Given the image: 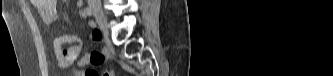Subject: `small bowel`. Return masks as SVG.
<instances>
[{
	"label": "small bowel",
	"instance_id": "c3829d8e",
	"mask_svg": "<svg viewBox=\"0 0 333 76\" xmlns=\"http://www.w3.org/2000/svg\"><path fill=\"white\" fill-rule=\"evenodd\" d=\"M34 2L39 15L45 22L52 24L57 21L58 0H36ZM82 5L83 2L81 0L77 1V6L80 9V15L82 17H86L87 14L82 10ZM89 25L94 29L95 24L93 22H89ZM92 38L94 40L101 41V33L93 31ZM66 44H69L70 46H65ZM53 49L57 58V65L62 69H68L74 63H76L79 68H83L88 65L99 66L105 59V54L99 52H90L81 55L82 40L78 36L72 34L60 33L56 35L53 41ZM88 69L98 73V71L93 68ZM84 71L79 70L76 75L84 76Z\"/></svg>",
	"mask_w": 333,
	"mask_h": 76
}]
</instances>
